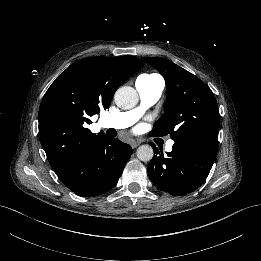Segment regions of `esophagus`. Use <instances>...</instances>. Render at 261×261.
Returning a JSON list of instances; mask_svg holds the SVG:
<instances>
[{
    "label": "esophagus",
    "instance_id": "34e87169",
    "mask_svg": "<svg viewBox=\"0 0 261 261\" xmlns=\"http://www.w3.org/2000/svg\"><path fill=\"white\" fill-rule=\"evenodd\" d=\"M141 142H143V141L134 140V141L131 142V147L137 148L141 144Z\"/></svg>",
    "mask_w": 261,
    "mask_h": 261
}]
</instances>
